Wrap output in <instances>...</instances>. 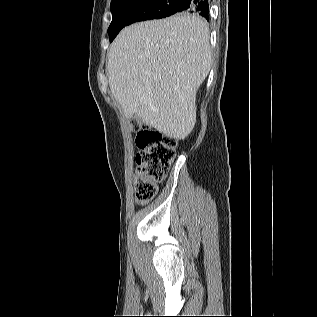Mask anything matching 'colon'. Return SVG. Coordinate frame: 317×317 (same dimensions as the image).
Instances as JSON below:
<instances>
[{
    "label": "colon",
    "instance_id": "1",
    "mask_svg": "<svg viewBox=\"0 0 317 317\" xmlns=\"http://www.w3.org/2000/svg\"><path fill=\"white\" fill-rule=\"evenodd\" d=\"M132 129L136 132V145L140 150L136 156L135 195L138 200L147 201L156 195L159 183L167 175L177 141L138 121L132 123Z\"/></svg>",
    "mask_w": 317,
    "mask_h": 317
}]
</instances>
